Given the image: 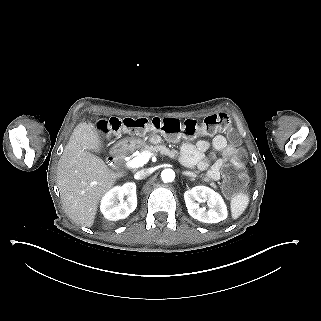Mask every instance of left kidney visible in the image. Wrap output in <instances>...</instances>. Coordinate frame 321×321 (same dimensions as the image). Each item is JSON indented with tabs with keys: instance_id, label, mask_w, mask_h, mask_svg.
I'll return each mask as SVG.
<instances>
[{
	"instance_id": "5707ae66",
	"label": "left kidney",
	"mask_w": 321,
	"mask_h": 321,
	"mask_svg": "<svg viewBox=\"0 0 321 321\" xmlns=\"http://www.w3.org/2000/svg\"><path fill=\"white\" fill-rule=\"evenodd\" d=\"M188 213L194 219L203 223H218L227 218V209L222 198L206 186H195L184 194ZM196 201H206L209 211L199 208Z\"/></svg>"
}]
</instances>
